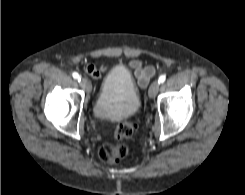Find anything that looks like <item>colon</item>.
<instances>
[{
  "label": "colon",
  "instance_id": "obj_1",
  "mask_svg": "<svg viewBox=\"0 0 245 195\" xmlns=\"http://www.w3.org/2000/svg\"><path fill=\"white\" fill-rule=\"evenodd\" d=\"M135 127L136 124L131 121L119 124L115 131L114 141L100 147L98 152L100 159L109 164H117L124 159L129 148L123 141L132 136Z\"/></svg>",
  "mask_w": 245,
  "mask_h": 195
}]
</instances>
